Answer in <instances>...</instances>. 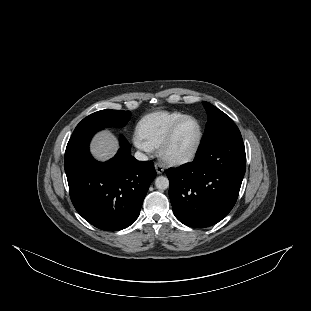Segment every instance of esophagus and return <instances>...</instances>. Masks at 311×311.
Wrapping results in <instances>:
<instances>
[{
  "label": "esophagus",
  "mask_w": 311,
  "mask_h": 311,
  "mask_svg": "<svg viewBox=\"0 0 311 311\" xmlns=\"http://www.w3.org/2000/svg\"><path fill=\"white\" fill-rule=\"evenodd\" d=\"M155 170L157 172V174H163L165 169L163 167V165L159 164V163H155Z\"/></svg>",
  "instance_id": "34e87169"
}]
</instances>
